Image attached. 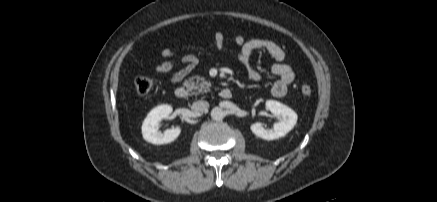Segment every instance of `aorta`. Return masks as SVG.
Wrapping results in <instances>:
<instances>
[{
	"label": "aorta",
	"instance_id": "1",
	"mask_svg": "<svg viewBox=\"0 0 437 202\" xmlns=\"http://www.w3.org/2000/svg\"><path fill=\"white\" fill-rule=\"evenodd\" d=\"M225 117V112L220 107H215L211 110V118L216 121H220Z\"/></svg>",
	"mask_w": 437,
	"mask_h": 202
}]
</instances>
